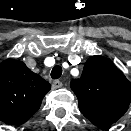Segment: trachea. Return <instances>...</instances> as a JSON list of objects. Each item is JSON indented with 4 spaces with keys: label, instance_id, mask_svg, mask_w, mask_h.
<instances>
[{
    "label": "trachea",
    "instance_id": "obj_1",
    "mask_svg": "<svg viewBox=\"0 0 131 131\" xmlns=\"http://www.w3.org/2000/svg\"><path fill=\"white\" fill-rule=\"evenodd\" d=\"M62 75V68L60 66H55L51 71V77L53 79H58Z\"/></svg>",
    "mask_w": 131,
    "mask_h": 131
}]
</instances>
